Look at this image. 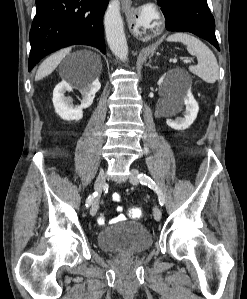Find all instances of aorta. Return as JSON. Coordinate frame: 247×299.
Wrapping results in <instances>:
<instances>
[{"mask_svg":"<svg viewBox=\"0 0 247 299\" xmlns=\"http://www.w3.org/2000/svg\"><path fill=\"white\" fill-rule=\"evenodd\" d=\"M104 28L110 50L119 60L126 61L128 58V45L120 14L119 0H112L109 3L104 16Z\"/></svg>","mask_w":247,"mask_h":299,"instance_id":"obj_1","label":"aorta"}]
</instances>
